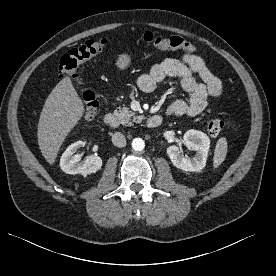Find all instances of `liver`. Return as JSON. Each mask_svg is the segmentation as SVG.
<instances>
[{
	"label": "liver",
	"instance_id": "obj_1",
	"mask_svg": "<svg viewBox=\"0 0 276 276\" xmlns=\"http://www.w3.org/2000/svg\"><path fill=\"white\" fill-rule=\"evenodd\" d=\"M83 114V102L70 77L63 78L46 99L37 129L39 148L49 164H54L65 138Z\"/></svg>",
	"mask_w": 276,
	"mask_h": 276
}]
</instances>
